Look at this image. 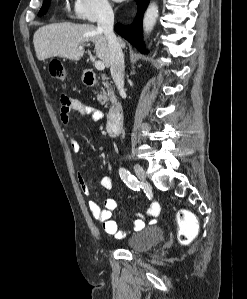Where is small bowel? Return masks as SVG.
<instances>
[{"mask_svg": "<svg viewBox=\"0 0 247 299\" xmlns=\"http://www.w3.org/2000/svg\"><path fill=\"white\" fill-rule=\"evenodd\" d=\"M76 111L82 116L90 117L94 121H99L103 118V114L100 110L85 104L84 102L70 98L66 95L61 96V110L60 116L64 124H68L70 121V113ZM70 148L73 152L77 153L81 150L80 142L75 138H70L69 140ZM78 181L82 192L85 195L90 194L92 181L85 178L83 174L78 175ZM100 185L107 190L113 188V180L109 176H104ZM89 210L92 213L94 219L99 222L104 231L115 238H123L126 235V232L119 229L117 222L112 218V213L117 208V201L114 198H107L104 201L103 207H100L97 203L91 201L89 202ZM160 212V205L158 202L153 201L147 212V217H144L141 214L136 215V219L133 222L134 231H139L144 228L146 223L155 222L157 216Z\"/></svg>", "mask_w": 247, "mask_h": 299, "instance_id": "1", "label": "small bowel"}]
</instances>
